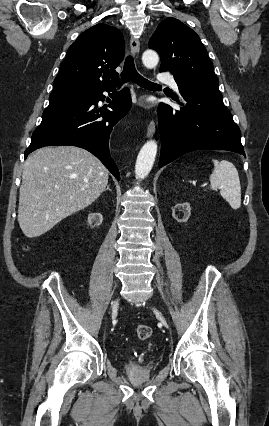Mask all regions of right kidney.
I'll return each mask as SVG.
<instances>
[{
  "label": "right kidney",
  "instance_id": "right-kidney-1",
  "mask_svg": "<svg viewBox=\"0 0 269 426\" xmlns=\"http://www.w3.org/2000/svg\"><path fill=\"white\" fill-rule=\"evenodd\" d=\"M102 219L103 217L100 213H91L86 223L90 225V228H101ZM90 232H93V229H90Z\"/></svg>",
  "mask_w": 269,
  "mask_h": 426
}]
</instances>
